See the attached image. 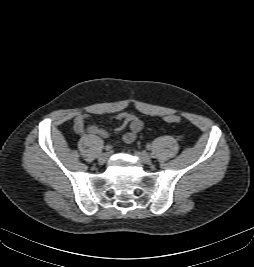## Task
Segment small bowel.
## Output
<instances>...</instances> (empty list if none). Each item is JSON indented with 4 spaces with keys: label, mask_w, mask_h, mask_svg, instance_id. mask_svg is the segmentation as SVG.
I'll return each mask as SVG.
<instances>
[{
    "label": "small bowel",
    "mask_w": 254,
    "mask_h": 267,
    "mask_svg": "<svg viewBox=\"0 0 254 267\" xmlns=\"http://www.w3.org/2000/svg\"><path fill=\"white\" fill-rule=\"evenodd\" d=\"M86 114L80 113L74 118V129L79 134H88L91 136H97L101 138H108L109 133L96 125H89L85 127ZM119 120V125L117 126V131H122L126 127L129 131L123 134L122 140L125 143H132L137 138V135L141 132L143 128V122L135 115L127 112H121L116 115Z\"/></svg>",
    "instance_id": "obj_1"
}]
</instances>
